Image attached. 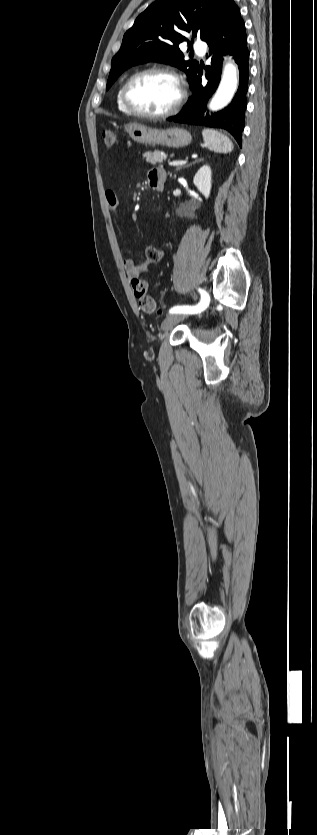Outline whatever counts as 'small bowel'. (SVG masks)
I'll return each mask as SVG.
<instances>
[{"label":"small bowel","instance_id":"obj_1","mask_svg":"<svg viewBox=\"0 0 317 835\" xmlns=\"http://www.w3.org/2000/svg\"><path fill=\"white\" fill-rule=\"evenodd\" d=\"M167 181V173L165 170L161 168H154L151 169L148 173V182L151 185L152 183L158 184L161 189L165 185ZM152 186V185H151ZM106 202L110 211H116L118 209V198L114 191L107 190L105 193ZM148 248V247H147ZM147 248L145 249L143 260L140 264L134 262L132 259L126 258L123 260V267L128 275V277H139L144 272L148 271L149 267L154 263V260L150 259L147 254Z\"/></svg>","mask_w":317,"mask_h":835}]
</instances>
